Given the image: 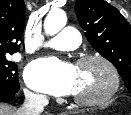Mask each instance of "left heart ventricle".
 Instances as JSON below:
<instances>
[{"label": "left heart ventricle", "mask_w": 131, "mask_h": 115, "mask_svg": "<svg viewBox=\"0 0 131 115\" xmlns=\"http://www.w3.org/2000/svg\"><path fill=\"white\" fill-rule=\"evenodd\" d=\"M76 74L74 96L77 97H97L105 93L111 85V75L108 69L97 61L77 66Z\"/></svg>", "instance_id": "b2bd125f"}]
</instances>
